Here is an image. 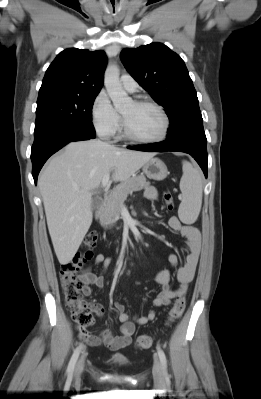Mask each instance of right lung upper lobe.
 <instances>
[{
	"mask_svg": "<svg viewBox=\"0 0 261 399\" xmlns=\"http://www.w3.org/2000/svg\"><path fill=\"white\" fill-rule=\"evenodd\" d=\"M107 57L103 50L69 48L47 69L39 96L51 94L95 95L103 86Z\"/></svg>",
	"mask_w": 261,
	"mask_h": 399,
	"instance_id": "obj_1",
	"label": "right lung upper lobe"
}]
</instances>
